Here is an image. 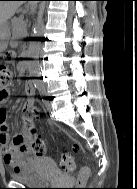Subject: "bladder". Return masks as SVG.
<instances>
[{"mask_svg": "<svg viewBox=\"0 0 137 189\" xmlns=\"http://www.w3.org/2000/svg\"><path fill=\"white\" fill-rule=\"evenodd\" d=\"M13 171V170H12ZM58 175L56 162L48 156L38 157L35 164L11 173L14 181L32 186L46 185Z\"/></svg>", "mask_w": 137, "mask_h": 189, "instance_id": "1", "label": "bladder"}]
</instances>
